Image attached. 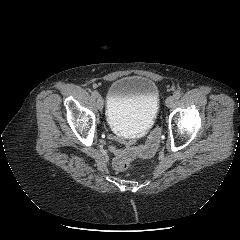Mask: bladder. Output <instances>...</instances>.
<instances>
[{
	"label": "bladder",
	"mask_w": 240,
	"mask_h": 240,
	"mask_svg": "<svg viewBox=\"0 0 240 240\" xmlns=\"http://www.w3.org/2000/svg\"><path fill=\"white\" fill-rule=\"evenodd\" d=\"M159 90L151 79L130 75L113 81L107 94V121L123 135L139 136L155 122Z\"/></svg>",
	"instance_id": "1"
}]
</instances>
